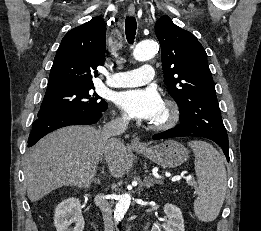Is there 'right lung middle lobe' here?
Listing matches in <instances>:
<instances>
[{
	"mask_svg": "<svg viewBox=\"0 0 261 231\" xmlns=\"http://www.w3.org/2000/svg\"><path fill=\"white\" fill-rule=\"evenodd\" d=\"M94 85L74 87L61 86L47 88L38 118H46L56 114L78 110H101L107 103L91 89Z\"/></svg>",
	"mask_w": 261,
	"mask_h": 231,
	"instance_id": "1",
	"label": "right lung middle lobe"
}]
</instances>
